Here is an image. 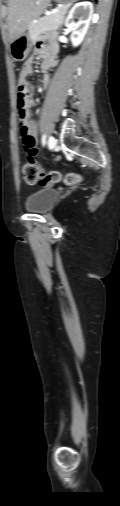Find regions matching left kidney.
<instances>
[{
    "label": "left kidney",
    "instance_id": "1",
    "mask_svg": "<svg viewBox=\"0 0 120 506\" xmlns=\"http://www.w3.org/2000/svg\"><path fill=\"white\" fill-rule=\"evenodd\" d=\"M92 15L93 5L88 1L76 3L69 11L65 19V26L72 31L70 38L74 47L80 45L84 40ZM75 19H78V21L75 22Z\"/></svg>",
    "mask_w": 120,
    "mask_h": 506
}]
</instances>
